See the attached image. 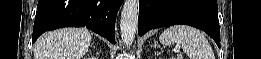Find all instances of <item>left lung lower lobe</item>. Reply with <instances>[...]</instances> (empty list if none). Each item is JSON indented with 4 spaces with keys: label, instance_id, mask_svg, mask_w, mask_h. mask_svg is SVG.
<instances>
[{
    "label": "left lung lower lobe",
    "instance_id": "obj_1",
    "mask_svg": "<svg viewBox=\"0 0 261 59\" xmlns=\"http://www.w3.org/2000/svg\"><path fill=\"white\" fill-rule=\"evenodd\" d=\"M185 24L206 32L220 47L216 0H140L138 34L163 26Z\"/></svg>",
    "mask_w": 261,
    "mask_h": 59
}]
</instances>
